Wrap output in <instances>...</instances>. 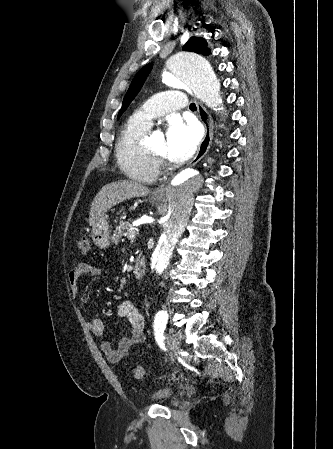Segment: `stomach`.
Segmentation results:
<instances>
[{
  "instance_id": "1",
  "label": "stomach",
  "mask_w": 333,
  "mask_h": 449,
  "mask_svg": "<svg viewBox=\"0 0 333 449\" xmlns=\"http://www.w3.org/2000/svg\"><path fill=\"white\" fill-rule=\"evenodd\" d=\"M161 198H153L154 202ZM91 237L96 246L101 249L106 248L110 243V228L108 223V216H101L92 226Z\"/></svg>"
}]
</instances>
